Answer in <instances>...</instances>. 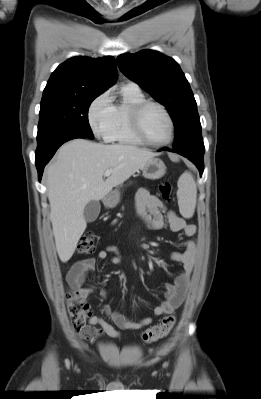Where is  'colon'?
Instances as JSON below:
<instances>
[{"label": "colon", "mask_w": 261, "mask_h": 399, "mask_svg": "<svg viewBox=\"0 0 261 399\" xmlns=\"http://www.w3.org/2000/svg\"><path fill=\"white\" fill-rule=\"evenodd\" d=\"M172 187L167 181L159 183V193L165 201H170ZM77 253L90 254L95 250V237L91 233L82 235L77 244ZM67 311L74 330L79 334H84L87 329L86 322L91 317V308L85 303L77 293L67 294ZM176 323L174 315L165 316L160 323L148 328L142 335L145 343H153L167 336Z\"/></svg>", "instance_id": "5ec220e1"}]
</instances>
